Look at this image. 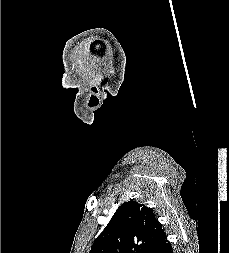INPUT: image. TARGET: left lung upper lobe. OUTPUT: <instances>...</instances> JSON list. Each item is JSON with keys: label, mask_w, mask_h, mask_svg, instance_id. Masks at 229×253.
Returning a JSON list of instances; mask_svg holds the SVG:
<instances>
[{"label": "left lung upper lobe", "mask_w": 229, "mask_h": 253, "mask_svg": "<svg viewBox=\"0 0 229 253\" xmlns=\"http://www.w3.org/2000/svg\"><path fill=\"white\" fill-rule=\"evenodd\" d=\"M165 237L150 208L128 201L116 210L89 253H154Z\"/></svg>", "instance_id": "left-lung-upper-lobe-1"}]
</instances>
